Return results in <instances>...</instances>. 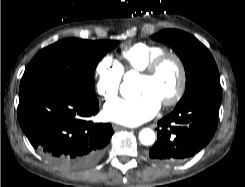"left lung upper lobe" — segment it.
Segmentation results:
<instances>
[{"label": "left lung upper lobe", "mask_w": 245, "mask_h": 187, "mask_svg": "<svg viewBox=\"0 0 245 187\" xmlns=\"http://www.w3.org/2000/svg\"><path fill=\"white\" fill-rule=\"evenodd\" d=\"M151 38L170 45L184 64L186 91L178 104L203 90L220 87L219 71L214 58L195 37L180 30L167 29Z\"/></svg>", "instance_id": "5c2ea615"}]
</instances>
